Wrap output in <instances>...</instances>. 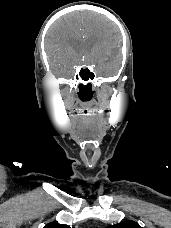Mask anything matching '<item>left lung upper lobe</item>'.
<instances>
[{
	"mask_svg": "<svg viewBox=\"0 0 171 228\" xmlns=\"http://www.w3.org/2000/svg\"><path fill=\"white\" fill-rule=\"evenodd\" d=\"M107 228H141V226L134 221H125L113 226L110 225Z\"/></svg>",
	"mask_w": 171,
	"mask_h": 228,
	"instance_id": "5c2ea615",
	"label": "left lung upper lobe"
}]
</instances>
